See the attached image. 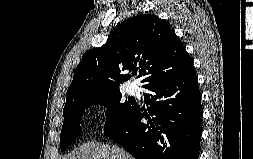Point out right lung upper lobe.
<instances>
[{"label": "right lung upper lobe", "instance_id": "obj_1", "mask_svg": "<svg viewBox=\"0 0 253 159\" xmlns=\"http://www.w3.org/2000/svg\"><path fill=\"white\" fill-rule=\"evenodd\" d=\"M193 67L185 47L169 23L158 16L139 14L121 23L100 48L85 52L67 90L72 100L119 90L137 70L145 76L142 87L178 76Z\"/></svg>", "mask_w": 253, "mask_h": 159}]
</instances>
